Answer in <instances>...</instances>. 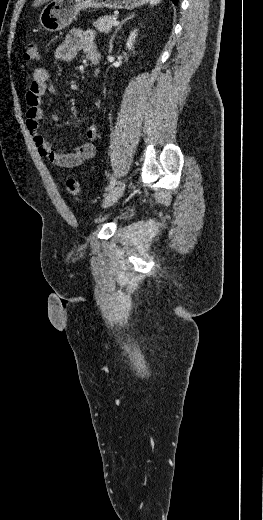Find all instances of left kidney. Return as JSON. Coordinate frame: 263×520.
I'll return each mask as SVG.
<instances>
[{"instance_id": "1", "label": "left kidney", "mask_w": 263, "mask_h": 520, "mask_svg": "<svg viewBox=\"0 0 263 520\" xmlns=\"http://www.w3.org/2000/svg\"><path fill=\"white\" fill-rule=\"evenodd\" d=\"M137 30H134L133 32L130 33L129 35V38H128V41H127V44H126V47L129 49V50H133V44H134V41H135V38L137 36Z\"/></svg>"}]
</instances>
